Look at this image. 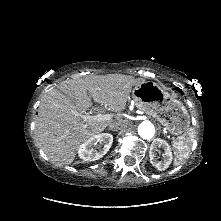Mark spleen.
Masks as SVG:
<instances>
[{"label": "spleen", "instance_id": "spleen-1", "mask_svg": "<svg viewBox=\"0 0 221 221\" xmlns=\"http://www.w3.org/2000/svg\"><path fill=\"white\" fill-rule=\"evenodd\" d=\"M193 141V129L189 128L182 137L173 143L176 165L182 164L189 157Z\"/></svg>", "mask_w": 221, "mask_h": 221}]
</instances>
